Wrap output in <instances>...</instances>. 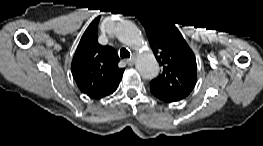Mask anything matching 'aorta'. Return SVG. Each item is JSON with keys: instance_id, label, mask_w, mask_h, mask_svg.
<instances>
[{"instance_id": "762f6f07", "label": "aorta", "mask_w": 263, "mask_h": 146, "mask_svg": "<svg viewBox=\"0 0 263 146\" xmlns=\"http://www.w3.org/2000/svg\"><path fill=\"white\" fill-rule=\"evenodd\" d=\"M120 40L130 48L139 50L144 46L142 35L138 28L131 24H125L119 31ZM136 68L145 79H153L157 76L159 66L151 50L145 49L139 52Z\"/></svg>"}]
</instances>
